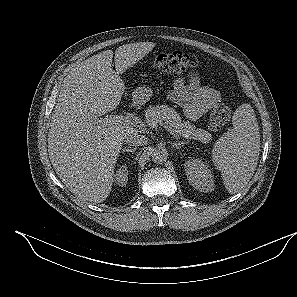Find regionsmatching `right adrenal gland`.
I'll use <instances>...</instances> for the list:
<instances>
[{
  "mask_svg": "<svg viewBox=\"0 0 297 297\" xmlns=\"http://www.w3.org/2000/svg\"><path fill=\"white\" fill-rule=\"evenodd\" d=\"M136 149H137V148H131V147H127V148H126V147H125L124 149H122V153H125V152H128V153H129V152H130V153L133 154V153L136 151Z\"/></svg>",
  "mask_w": 297,
  "mask_h": 297,
  "instance_id": "2a0ac1e0",
  "label": "right adrenal gland"
}]
</instances>
